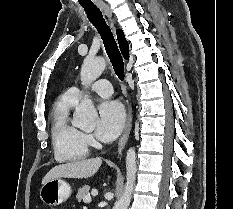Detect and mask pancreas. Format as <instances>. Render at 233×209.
<instances>
[{
	"label": "pancreas",
	"mask_w": 233,
	"mask_h": 209,
	"mask_svg": "<svg viewBox=\"0 0 233 209\" xmlns=\"http://www.w3.org/2000/svg\"><path fill=\"white\" fill-rule=\"evenodd\" d=\"M89 192H90V186L84 185L82 186V188H79L76 198L78 199V201H81L86 196H89Z\"/></svg>",
	"instance_id": "obj_1"
}]
</instances>
